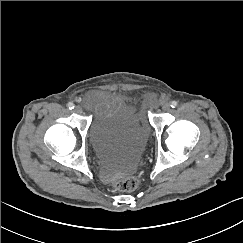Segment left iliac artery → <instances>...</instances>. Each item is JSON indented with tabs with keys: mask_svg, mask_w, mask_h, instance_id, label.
Wrapping results in <instances>:
<instances>
[{
	"mask_svg": "<svg viewBox=\"0 0 243 243\" xmlns=\"http://www.w3.org/2000/svg\"><path fill=\"white\" fill-rule=\"evenodd\" d=\"M177 105H178L177 101L174 100V101L171 102V107L172 108H175Z\"/></svg>",
	"mask_w": 243,
	"mask_h": 243,
	"instance_id": "44dca946",
	"label": "left iliac artery"
}]
</instances>
